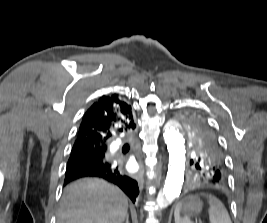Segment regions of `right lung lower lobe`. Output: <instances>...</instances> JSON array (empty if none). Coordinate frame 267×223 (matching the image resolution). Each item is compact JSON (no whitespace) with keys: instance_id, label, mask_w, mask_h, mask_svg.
<instances>
[{"instance_id":"right-lung-lower-lobe-1","label":"right lung lower lobe","mask_w":267,"mask_h":223,"mask_svg":"<svg viewBox=\"0 0 267 223\" xmlns=\"http://www.w3.org/2000/svg\"><path fill=\"white\" fill-rule=\"evenodd\" d=\"M85 177L101 178L116 184L129 196L132 202H135L139 194L137 181L125 175L121 168L114 165L107 157L84 159L67 167L64 185Z\"/></svg>"}]
</instances>
